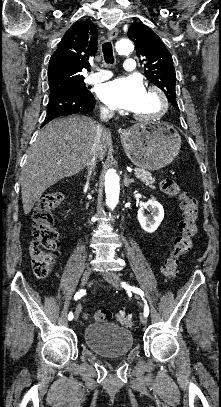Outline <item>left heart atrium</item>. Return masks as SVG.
Segmentation results:
<instances>
[{"instance_id": "obj_1", "label": "left heart atrium", "mask_w": 221, "mask_h": 407, "mask_svg": "<svg viewBox=\"0 0 221 407\" xmlns=\"http://www.w3.org/2000/svg\"><path fill=\"white\" fill-rule=\"evenodd\" d=\"M145 91L140 78L120 77L101 85L99 97L113 109L134 111L139 106Z\"/></svg>"}]
</instances>
